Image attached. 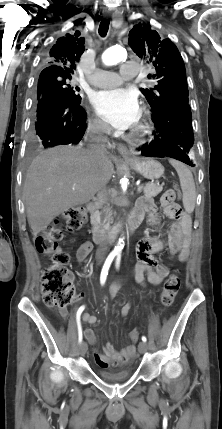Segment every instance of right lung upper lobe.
<instances>
[{
	"mask_svg": "<svg viewBox=\"0 0 222 429\" xmlns=\"http://www.w3.org/2000/svg\"><path fill=\"white\" fill-rule=\"evenodd\" d=\"M85 39L80 37L79 32L67 33L57 39L47 53L46 61L48 66L43 69L40 75H71L76 69L75 63L85 50Z\"/></svg>",
	"mask_w": 222,
	"mask_h": 429,
	"instance_id": "obj_1",
	"label": "right lung upper lobe"
}]
</instances>
